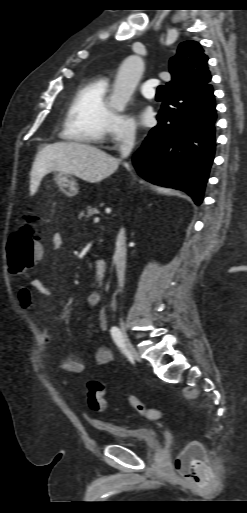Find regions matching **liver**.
<instances>
[{"label":"liver","instance_id":"1","mask_svg":"<svg viewBox=\"0 0 247 513\" xmlns=\"http://www.w3.org/2000/svg\"><path fill=\"white\" fill-rule=\"evenodd\" d=\"M119 160L94 146L76 142H59L42 148L32 166L30 193L34 194L41 179L51 171L72 174L86 182L97 183L118 168Z\"/></svg>","mask_w":247,"mask_h":513}]
</instances>
